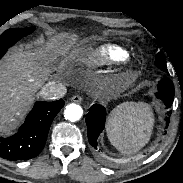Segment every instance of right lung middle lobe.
Returning <instances> with one entry per match:
<instances>
[{
	"mask_svg": "<svg viewBox=\"0 0 183 183\" xmlns=\"http://www.w3.org/2000/svg\"><path fill=\"white\" fill-rule=\"evenodd\" d=\"M35 27L22 29H9L0 36V53H5L9 47L15 44L22 37L32 33Z\"/></svg>",
	"mask_w": 183,
	"mask_h": 183,
	"instance_id": "obj_1",
	"label": "right lung middle lobe"
}]
</instances>
